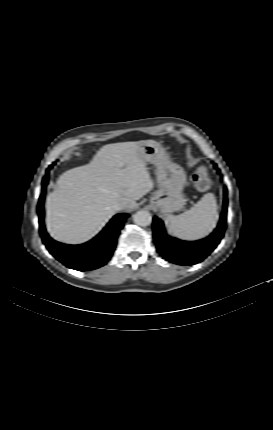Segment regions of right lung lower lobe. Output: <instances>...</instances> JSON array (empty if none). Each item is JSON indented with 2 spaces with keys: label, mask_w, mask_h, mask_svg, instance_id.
Wrapping results in <instances>:
<instances>
[{
  "label": "right lung lower lobe",
  "mask_w": 273,
  "mask_h": 430,
  "mask_svg": "<svg viewBox=\"0 0 273 430\" xmlns=\"http://www.w3.org/2000/svg\"><path fill=\"white\" fill-rule=\"evenodd\" d=\"M52 168V165H50ZM49 174V169L46 170ZM48 176L42 181V194L38 202L39 230L43 243L48 251L66 267L78 271L97 269L105 265L111 258L120 229L123 227L127 214H117L109 224L91 241L81 245H66L53 240L44 227V193Z\"/></svg>",
  "instance_id": "right-lung-lower-lobe-1"
}]
</instances>
